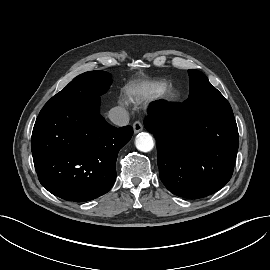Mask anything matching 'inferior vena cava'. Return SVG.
<instances>
[{"mask_svg": "<svg viewBox=\"0 0 270 270\" xmlns=\"http://www.w3.org/2000/svg\"><path fill=\"white\" fill-rule=\"evenodd\" d=\"M108 117L111 122L117 126H125L129 123V114L122 107H114L110 109Z\"/></svg>", "mask_w": 270, "mask_h": 270, "instance_id": "1", "label": "inferior vena cava"}]
</instances>
